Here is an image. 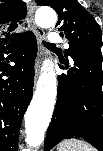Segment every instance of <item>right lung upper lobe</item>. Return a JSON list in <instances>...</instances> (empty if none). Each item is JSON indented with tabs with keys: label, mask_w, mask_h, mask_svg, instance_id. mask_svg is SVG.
<instances>
[{
	"label": "right lung upper lobe",
	"mask_w": 103,
	"mask_h": 151,
	"mask_svg": "<svg viewBox=\"0 0 103 151\" xmlns=\"http://www.w3.org/2000/svg\"><path fill=\"white\" fill-rule=\"evenodd\" d=\"M26 6L21 0H0V48L14 44L24 33H14L18 22L26 17Z\"/></svg>",
	"instance_id": "1"
}]
</instances>
